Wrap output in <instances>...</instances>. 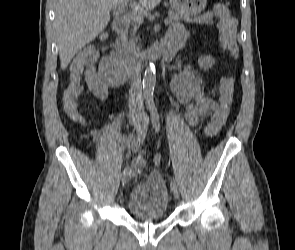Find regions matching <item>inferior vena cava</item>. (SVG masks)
<instances>
[{
    "label": "inferior vena cava",
    "instance_id": "602c4592",
    "mask_svg": "<svg viewBox=\"0 0 295 250\" xmlns=\"http://www.w3.org/2000/svg\"><path fill=\"white\" fill-rule=\"evenodd\" d=\"M139 49H136L135 54V72L131 81L129 89V110L131 116H142L144 115V104L141 87V75H140V60Z\"/></svg>",
    "mask_w": 295,
    "mask_h": 250
}]
</instances>
